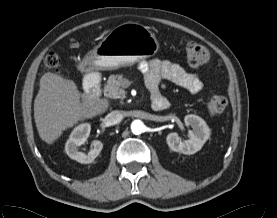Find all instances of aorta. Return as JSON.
<instances>
[{
    "mask_svg": "<svg viewBox=\"0 0 277 218\" xmlns=\"http://www.w3.org/2000/svg\"><path fill=\"white\" fill-rule=\"evenodd\" d=\"M144 129H145V125L141 120H134L131 123V131L136 135L141 134L144 131Z\"/></svg>",
    "mask_w": 277,
    "mask_h": 218,
    "instance_id": "762f6f07",
    "label": "aorta"
}]
</instances>
